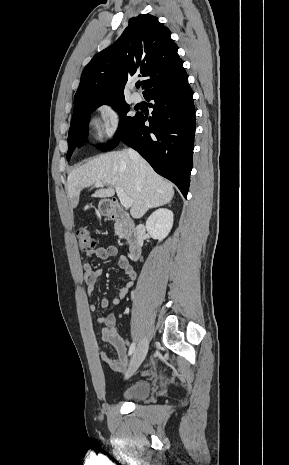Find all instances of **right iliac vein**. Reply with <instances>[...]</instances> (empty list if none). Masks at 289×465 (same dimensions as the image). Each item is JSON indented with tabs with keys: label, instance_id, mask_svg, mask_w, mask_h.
Here are the masks:
<instances>
[{
	"label": "right iliac vein",
	"instance_id": "63e3f726",
	"mask_svg": "<svg viewBox=\"0 0 289 465\" xmlns=\"http://www.w3.org/2000/svg\"><path fill=\"white\" fill-rule=\"evenodd\" d=\"M148 351V340L143 339L137 346L132 356L129 368L126 372V378L131 377L139 368Z\"/></svg>",
	"mask_w": 289,
	"mask_h": 465
}]
</instances>
